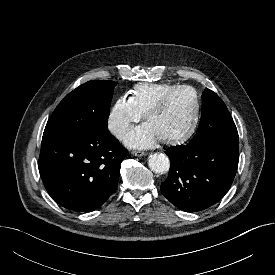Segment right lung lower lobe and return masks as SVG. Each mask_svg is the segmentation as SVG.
Instances as JSON below:
<instances>
[{"instance_id": "1", "label": "right lung lower lobe", "mask_w": 275, "mask_h": 275, "mask_svg": "<svg viewBox=\"0 0 275 275\" xmlns=\"http://www.w3.org/2000/svg\"><path fill=\"white\" fill-rule=\"evenodd\" d=\"M128 151L107 130L82 136L42 138L38 168L43 184L59 205L89 212L116 190L120 163Z\"/></svg>"}]
</instances>
